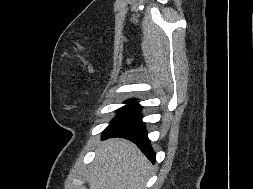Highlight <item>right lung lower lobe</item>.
Wrapping results in <instances>:
<instances>
[{
    "instance_id": "1",
    "label": "right lung lower lobe",
    "mask_w": 253,
    "mask_h": 189,
    "mask_svg": "<svg viewBox=\"0 0 253 189\" xmlns=\"http://www.w3.org/2000/svg\"><path fill=\"white\" fill-rule=\"evenodd\" d=\"M141 107L132 104L124 107L117 113V117L104 130L102 138L122 137L134 142L140 150L154 163L155 152L152 150L150 141L139 113Z\"/></svg>"
}]
</instances>
